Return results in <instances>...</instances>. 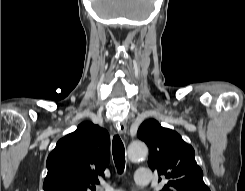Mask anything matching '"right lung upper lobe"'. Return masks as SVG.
<instances>
[{
  "instance_id": "1",
  "label": "right lung upper lobe",
  "mask_w": 245,
  "mask_h": 191,
  "mask_svg": "<svg viewBox=\"0 0 245 191\" xmlns=\"http://www.w3.org/2000/svg\"><path fill=\"white\" fill-rule=\"evenodd\" d=\"M110 139L91 122L60 139L47 158L44 191L95 190L109 163Z\"/></svg>"
}]
</instances>
